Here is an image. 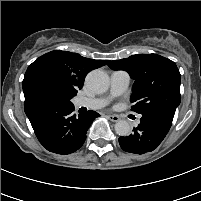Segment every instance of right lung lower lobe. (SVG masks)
<instances>
[{
    "mask_svg": "<svg viewBox=\"0 0 201 201\" xmlns=\"http://www.w3.org/2000/svg\"><path fill=\"white\" fill-rule=\"evenodd\" d=\"M24 110L40 143L50 152L70 154L78 150L86 139L95 111L74 114L72 103L48 98H35L24 103Z\"/></svg>",
    "mask_w": 201,
    "mask_h": 201,
    "instance_id": "right-lung-lower-lobe-1",
    "label": "right lung lower lobe"
}]
</instances>
